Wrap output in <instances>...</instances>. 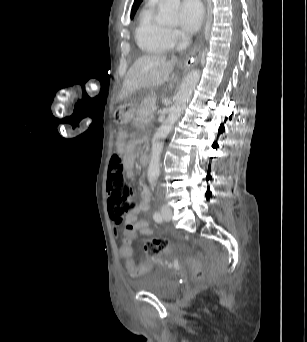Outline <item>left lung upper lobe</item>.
<instances>
[{"instance_id": "obj_1", "label": "left lung upper lobe", "mask_w": 307, "mask_h": 342, "mask_svg": "<svg viewBox=\"0 0 307 342\" xmlns=\"http://www.w3.org/2000/svg\"><path fill=\"white\" fill-rule=\"evenodd\" d=\"M142 1L143 0H135L133 7H132V11H131V19H133L134 15L136 13V10L138 9V7Z\"/></svg>"}]
</instances>
